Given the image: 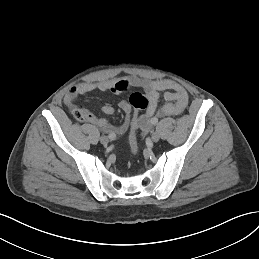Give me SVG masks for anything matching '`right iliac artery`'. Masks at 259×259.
<instances>
[{"label":"right iliac artery","instance_id":"right-iliac-artery-1","mask_svg":"<svg viewBox=\"0 0 259 259\" xmlns=\"http://www.w3.org/2000/svg\"><path fill=\"white\" fill-rule=\"evenodd\" d=\"M108 138L110 140H115L116 139V135L114 133H111V134L108 135Z\"/></svg>","mask_w":259,"mask_h":259}]
</instances>
